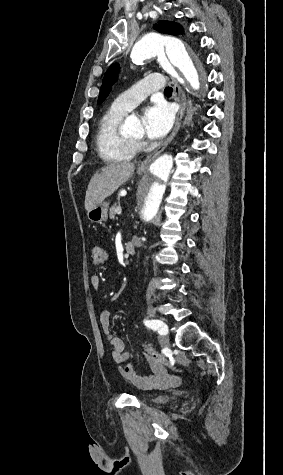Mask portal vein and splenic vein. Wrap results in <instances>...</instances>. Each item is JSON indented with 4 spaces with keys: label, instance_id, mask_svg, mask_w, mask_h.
Listing matches in <instances>:
<instances>
[{
    "label": "portal vein and splenic vein",
    "instance_id": "1",
    "mask_svg": "<svg viewBox=\"0 0 283 475\" xmlns=\"http://www.w3.org/2000/svg\"><path fill=\"white\" fill-rule=\"evenodd\" d=\"M121 212H122L121 208H117L116 214H121Z\"/></svg>",
    "mask_w": 283,
    "mask_h": 475
}]
</instances>
